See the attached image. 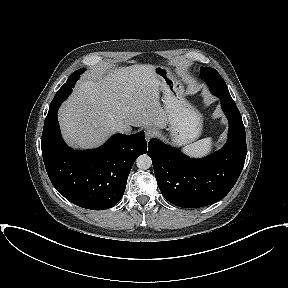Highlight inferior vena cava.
<instances>
[{
  "instance_id": "602c4592",
  "label": "inferior vena cava",
  "mask_w": 288,
  "mask_h": 288,
  "mask_svg": "<svg viewBox=\"0 0 288 288\" xmlns=\"http://www.w3.org/2000/svg\"><path fill=\"white\" fill-rule=\"evenodd\" d=\"M116 131L119 133H127L126 129L124 127H117Z\"/></svg>"
}]
</instances>
